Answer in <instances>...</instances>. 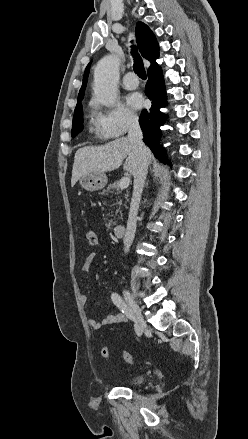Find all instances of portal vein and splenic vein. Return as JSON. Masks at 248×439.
<instances>
[{"mask_svg":"<svg viewBox=\"0 0 248 439\" xmlns=\"http://www.w3.org/2000/svg\"><path fill=\"white\" fill-rule=\"evenodd\" d=\"M130 183V178L129 177H122L120 182H119V187L121 189H126L129 186Z\"/></svg>","mask_w":248,"mask_h":439,"instance_id":"1","label":"portal vein and splenic vein"}]
</instances>
